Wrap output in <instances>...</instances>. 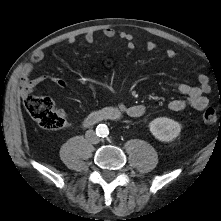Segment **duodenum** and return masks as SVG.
I'll use <instances>...</instances> for the list:
<instances>
[{
  "mask_svg": "<svg viewBox=\"0 0 221 221\" xmlns=\"http://www.w3.org/2000/svg\"><path fill=\"white\" fill-rule=\"evenodd\" d=\"M121 117L119 110L115 108H105L90 113L84 120V125L91 126L101 121H117Z\"/></svg>",
  "mask_w": 221,
  "mask_h": 221,
  "instance_id": "410a0bca",
  "label": "duodenum"
}]
</instances>
